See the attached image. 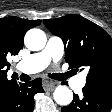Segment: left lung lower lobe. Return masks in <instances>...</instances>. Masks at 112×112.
<instances>
[{"instance_id":"left-lung-lower-lobe-1","label":"left lung lower lobe","mask_w":112,"mask_h":112,"mask_svg":"<svg viewBox=\"0 0 112 112\" xmlns=\"http://www.w3.org/2000/svg\"><path fill=\"white\" fill-rule=\"evenodd\" d=\"M82 92V96L74 94L71 104L61 112H108L112 107V89L85 86Z\"/></svg>"}]
</instances>
